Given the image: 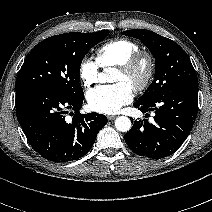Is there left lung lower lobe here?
Here are the masks:
<instances>
[{
	"label": "left lung lower lobe",
	"instance_id": "1",
	"mask_svg": "<svg viewBox=\"0 0 212 212\" xmlns=\"http://www.w3.org/2000/svg\"><path fill=\"white\" fill-rule=\"evenodd\" d=\"M143 113L155 111L154 123L134 121L126 133L128 147L140 156L161 159L182 145L194 124L198 110V84L176 88L148 104L135 102Z\"/></svg>",
	"mask_w": 212,
	"mask_h": 212
}]
</instances>
